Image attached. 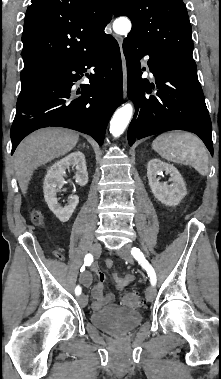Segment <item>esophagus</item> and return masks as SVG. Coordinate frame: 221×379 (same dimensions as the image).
I'll return each mask as SVG.
<instances>
[{
  "mask_svg": "<svg viewBox=\"0 0 221 379\" xmlns=\"http://www.w3.org/2000/svg\"><path fill=\"white\" fill-rule=\"evenodd\" d=\"M115 37L121 49L122 67H123V94H124V97H126L127 96V67H126L125 57L122 52L123 38L121 36H115Z\"/></svg>",
  "mask_w": 221,
  "mask_h": 379,
  "instance_id": "1",
  "label": "esophagus"
}]
</instances>
